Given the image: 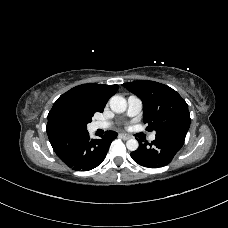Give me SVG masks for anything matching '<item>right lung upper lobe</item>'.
Wrapping results in <instances>:
<instances>
[{"mask_svg": "<svg viewBox=\"0 0 228 228\" xmlns=\"http://www.w3.org/2000/svg\"><path fill=\"white\" fill-rule=\"evenodd\" d=\"M118 85H99L95 83L76 86L63 95L54 103L48 114L47 133L59 129L55 114L63 105L72 104L90 113L103 112L109 98L116 93Z\"/></svg>", "mask_w": 228, "mask_h": 228, "instance_id": "cb5924a9", "label": "right lung upper lobe"}]
</instances>
